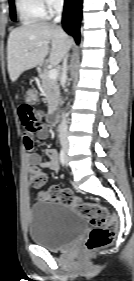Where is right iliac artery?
Returning <instances> with one entry per match:
<instances>
[{"label":"right iliac artery","instance_id":"82829eb1","mask_svg":"<svg viewBox=\"0 0 134 281\" xmlns=\"http://www.w3.org/2000/svg\"><path fill=\"white\" fill-rule=\"evenodd\" d=\"M59 159H60L62 166H64L65 165V154H64L63 149H61V151H60Z\"/></svg>","mask_w":134,"mask_h":281}]
</instances>
